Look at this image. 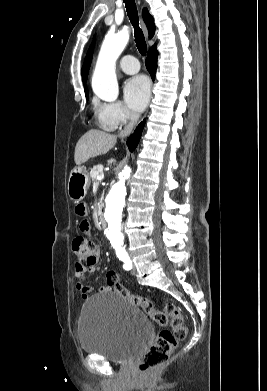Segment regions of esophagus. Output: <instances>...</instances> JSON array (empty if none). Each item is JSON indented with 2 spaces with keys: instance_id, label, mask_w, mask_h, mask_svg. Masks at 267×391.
<instances>
[{
  "instance_id": "1",
  "label": "esophagus",
  "mask_w": 267,
  "mask_h": 391,
  "mask_svg": "<svg viewBox=\"0 0 267 391\" xmlns=\"http://www.w3.org/2000/svg\"><path fill=\"white\" fill-rule=\"evenodd\" d=\"M138 3L140 4V1H139V0H138ZM142 27H143L144 32L147 34V29H146V27H145L143 21H142Z\"/></svg>"
}]
</instances>
